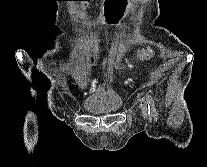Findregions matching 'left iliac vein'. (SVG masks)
Wrapping results in <instances>:
<instances>
[{"instance_id":"1","label":"left iliac vein","mask_w":207,"mask_h":167,"mask_svg":"<svg viewBox=\"0 0 207 167\" xmlns=\"http://www.w3.org/2000/svg\"><path fill=\"white\" fill-rule=\"evenodd\" d=\"M141 109H142V113L144 115L145 118H147V113H148V107H147V103L145 101H142L141 104Z\"/></svg>"}]
</instances>
